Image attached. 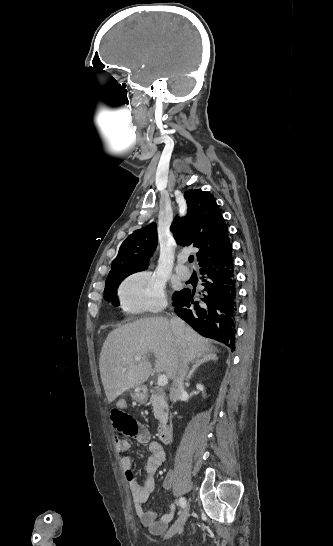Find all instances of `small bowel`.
Returning a JSON list of instances; mask_svg holds the SVG:
<instances>
[{
    "instance_id": "1",
    "label": "small bowel",
    "mask_w": 333,
    "mask_h": 546,
    "mask_svg": "<svg viewBox=\"0 0 333 546\" xmlns=\"http://www.w3.org/2000/svg\"><path fill=\"white\" fill-rule=\"evenodd\" d=\"M118 405L121 408V412H123L122 410L126 408V403L124 401H120ZM124 414L136 428L131 437L140 443H148V449L150 452L145 465V476L142 482H139L133 476L132 459L126 454L131 446L130 441L128 439L120 438L115 440V446L120 455L121 465L128 479L135 513L144 526L149 527L155 533H161L172 520L175 506L172 504L169 513L162 515L159 519H156V513L152 511H145L143 509V504L147 501L149 494L154 489L155 473L165 461V451L159 442L150 440V433L144 426L138 424L131 416L127 415L126 413ZM170 485L171 481L169 479L166 480L164 486L169 487Z\"/></svg>"
}]
</instances>
